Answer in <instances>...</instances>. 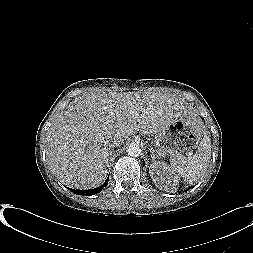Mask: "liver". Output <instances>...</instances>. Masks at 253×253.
Instances as JSON below:
<instances>
[{
    "mask_svg": "<svg viewBox=\"0 0 253 253\" xmlns=\"http://www.w3.org/2000/svg\"><path fill=\"white\" fill-rule=\"evenodd\" d=\"M180 117L202 120L182 98L160 92L103 90L75 98L52 122L47 161L57 178L72 188L90 189L106 178L112 138L124 141L137 131H163Z\"/></svg>",
    "mask_w": 253,
    "mask_h": 253,
    "instance_id": "liver-1",
    "label": "liver"
}]
</instances>
